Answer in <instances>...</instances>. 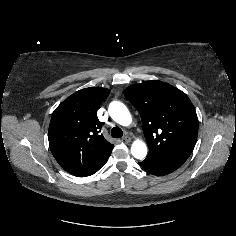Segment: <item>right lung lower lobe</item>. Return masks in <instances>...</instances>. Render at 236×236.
Instances as JSON below:
<instances>
[{
    "label": "right lung lower lobe",
    "mask_w": 236,
    "mask_h": 236,
    "mask_svg": "<svg viewBox=\"0 0 236 236\" xmlns=\"http://www.w3.org/2000/svg\"><path fill=\"white\" fill-rule=\"evenodd\" d=\"M108 160V159H107ZM107 160L103 163V164H101L95 171H94V173H96L106 162H107ZM93 173V174H94Z\"/></svg>",
    "instance_id": "obj_1"
}]
</instances>
